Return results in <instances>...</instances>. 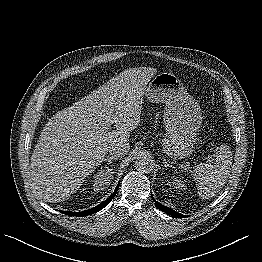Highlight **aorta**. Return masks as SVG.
<instances>
[{
  "instance_id": "obj_1",
  "label": "aorta",
  "mask_w": 262,
  "mask_h": 262,
  "mask_svg": "<svg viewBox=\"0 0 262 262\" xmlns=\"http://www.w3.org/2000/svg\"><path fill=\"white\" fill-rule=\"evenodd\" d=\"M135 167L139 171L149 172L153 169V164L150 157L146 153H140L137 155Z\"/></svg>"
}]
</instances>
